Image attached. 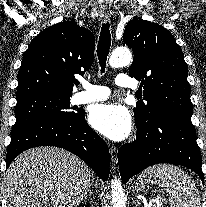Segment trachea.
I'll use <instances>...</instances> for the list:
<instances>
[{
  "mask_svg": "<svg viewBox=\"0 0 206 207\" xmlns=\"http://www.w3.org/2000/svg\"><path fill=\"white\" fill-rule=\"evenodd\" d=\"M111 46V35L109 30V23H105L101 27L100 37L97 47V56L101 66V73H104L106 67L107 56ZM79 85V82H76Z\"/></svg>",
  "mask_w": 206,
  "mask_h": 207,
  "instance_id": "3493384b",
  "label": "trachea"
}]
</instances>
